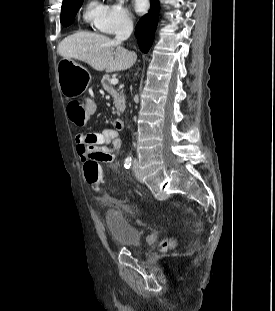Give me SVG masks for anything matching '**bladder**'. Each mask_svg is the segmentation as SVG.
Masks as SVG:
<instances>
[{
  "mask_svg": "<svg viewBox=\"0 0 275 311\" xmlns=\"http://www.w3.org/2000/svg\"><path fill=\"white\" fill-rule=\"evenodd\" d=\"M109 236L117 247L132 248L141 242V232L122 212L105 210L103 215Z\"/></svg>",
  "mask_w": 275,
  "mask_h": 311,
  "instance_id": "obj_1",
  "label": "bladder"
}]
</instances>
